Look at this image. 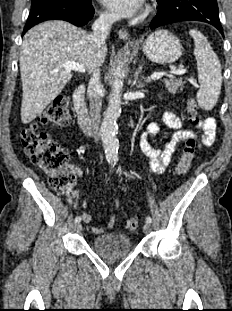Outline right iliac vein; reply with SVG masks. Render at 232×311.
<instances>
[{"label": "right iliac vein", "mask_w": 232, "mask_h": 311, "mask_svg": "<svg viewBox=\"0 0 232 311\" xmlns=\"http://www.w3.org/2000/svg\"><path fill=\"white\" fill-rule=\"evenodd\" d=\"M75 228H76V231L79 232V231H81L82 225L80 223H77L75 225Z\"/></svg>", "instance_id": "right-iliac-vein-1"}]
</instances>
